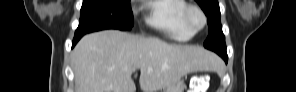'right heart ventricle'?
Wrapping results in <instances>:
<instances>
[{"label":"right heart ventricle","mask_w":296,"mask_h":92,"mask_svg":"<svg viewBox=\"0 0 296 92\" xmlns=\"http://www.w3.org/2000/svg\"><path fill=\"white\" fill-rule=\"evenodd\" d=\"M188 4L184 0H155L149 2L150 15L147 23L174 40L186 41L193 33L184 23Z\"/></svg>","instance_id":"1"}]
</instances>
